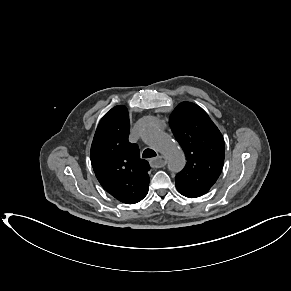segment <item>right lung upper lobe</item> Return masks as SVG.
I'll return each mask as SVG.
<instances>
[{"mask_svg": "<svg viewBox=\"0 0 291 291\" xmlns=\"http://www.w3.org/2000/svg\"><path fill=\"white\" fill-rule=\"evenodd\" d=\"M129 130L127 108H112L98 124L90 158L102 187L117 200L134 204L148 193L150 166L139 157L138 146L128 141Z\"/></svg>", "mask_w": 291, "mask_h": 291, "instance_id": "obj_1", "label": "right lung upper lobe"}]
</instances>
